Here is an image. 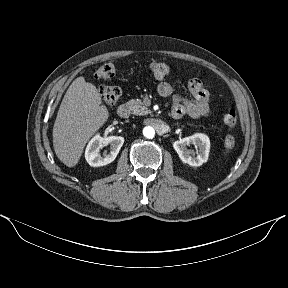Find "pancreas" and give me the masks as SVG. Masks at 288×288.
Masks as SVG:
<instances>
[{"label": "pancreas", "instance_id": "obj_1", "mask_svg": "<svg viewBox=\"0 0 288 288\" xmlns=\"http://www.w3.org/2000/svg\"><path fill=\"white\" fill-rule=\"evenodd\" d=\"M127 105L135 115L143 116L150 113V110L143 105V102L140 99H131L127 102Z\"/></svg>", "mask_w": 288, "mask_h": 288}]
</instances>
